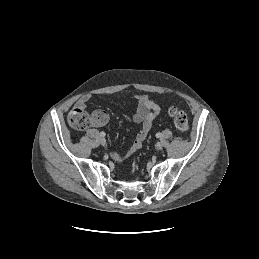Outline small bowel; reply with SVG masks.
I'll return each instance as SVG.
<instances>
[{"label":"small bowel","instance_id":"obj_1","mask_svg":"<svg viewBox=\"0 0 259 259\" xmlns=\"http://www.w3.org/2000/svg\"><path fill=\"white\" fill-rule=\"evenodd\" d=\"M88 97L79 99L76 103V107L85 108ZM137 108L135 113L131 117H126L127 121L139 124L141 126L139 132L136 135L130 148L125 153L114 152L112 158L117 162H122L134 152L139 150L143 141L147 137L154 119L160 113V106L149 99L145 95H139L136 97ZM109 116L104 110H95L93 112V125L96 127L104 126L108 122Z\"/></svg>","mask_w":259,"mask_h":259}]
</instances>
